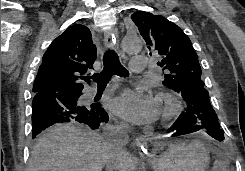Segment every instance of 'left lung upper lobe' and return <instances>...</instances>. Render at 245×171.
Instances as JSON below:
<instances>
[{
	"label": "left lung upper lobe",
	"mask_w": 245,
	"mask_h": 171,
	"mask_svg": "<svg viewBox=\"0 0 245 171\" xmlns=\"http://www.w3.org/2000/svg\"><path fill=\"white\" fill-rule=\"evenodd\" d=\"M131 19L148 49L161 58L157 65L164 71V86L178 93L188 86L204 87L198 56L180 27L161 15L144 11L133 13Z\"/></svg>",
	"instance_id": "5c2ea615"
}]
</instances>
